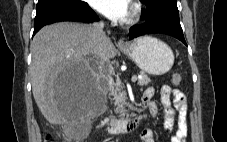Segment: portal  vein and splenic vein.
Masks as SVG:
<instances>
[{
	"mask_svg": "<svg viewBox=\"0 0 227 142\" xmlns=\"http://www.w3.org/2000/svg\"><path fill=\"white\" fill-rule=\"evenodd\" d=\"M136 80H137V76L133 75L132 78H131V81L136 82Z\"/></svg>",
	"mask_w": 227,
	"mask_h": 142,
	"instance_id": "1",
	"label": "portal vein and splenic vein"
}]
</instances>
